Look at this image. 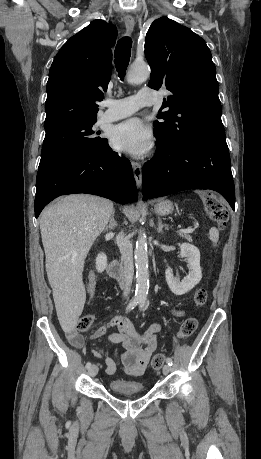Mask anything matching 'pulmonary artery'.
<instances>
[{
    "mask_svg": "<svg viewBox=\"0 0 261 459\" xmlns=\"http://www.w3.org/2000/svg\"><path fill=\"white\" fill-rule=\"evenodd\" d=\"M155 101L154 92L149 88H142L137 94L122 99H111L104 102L107 110L103 113V122H113L128 117L139 108L152 105Z\"/></svg>",
    "mask_w": 261,
    "mask_h": 459,
    "instance_id": "1",
    "label": "pulmonary artery"
}]
</instances>
